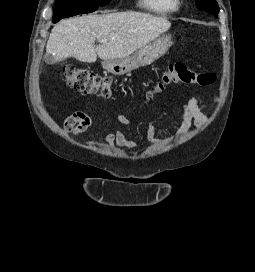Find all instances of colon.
Listing matches in <instances>:
<instances>
[{
	"label": "colon",
	"mask_w": 255,
	"mask_h": 272,
	"mask_svg": "<svg viewBox=\"0 0 255 272\" xmlns=\"http://www.w3.org/2000/svg\"><path fill=\"white\" fill-rule=\"evenodd\" d=\"M66 84L77 92L97 94L102 97L110 95V80L107 75L97 74L85 68H66L63 71ZM215 81V74L189 68L183 63H172L166 66L158 82L147 93L151 98L171 85H209Z\"/></svg>",
	"instance_id": "5ec220e1"
}]
</instances>
